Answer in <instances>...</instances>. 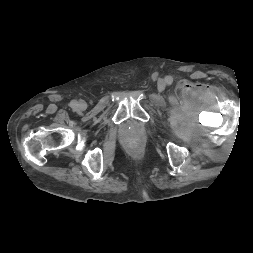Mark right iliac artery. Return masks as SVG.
<instances>
[{
  "instance_id": "82829eb1",
  "label": "right iliac artery",
  "mask_w": 253,
  "mask_h": 253,
  "mask_svg": "<svg viewBox=\"0 0 253 253\" xmlns=\"http://www.w3.org/2000/svg\"><path fill=\"white\" fill-rule=\"evenodd\" d=\"M76 106H77V101L76 100H72L70 102V107L75 108Z\"/></svg>"
}]
</instances>
